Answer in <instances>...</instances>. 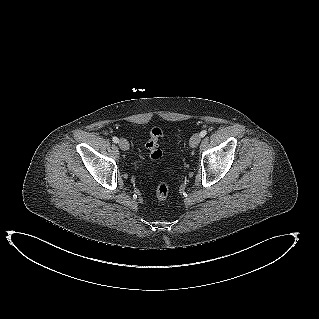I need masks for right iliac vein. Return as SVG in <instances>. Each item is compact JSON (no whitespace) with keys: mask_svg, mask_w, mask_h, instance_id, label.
<instances>
[{"mask_svg":"<svg viewBox=\"0 0 319 319\" xmlns=\"http://www.w3.org/2000/svg\"><path fill=\"white\" fill-rule=\"evenodd\" d=\"M118 143H119V146L122 150L126 151L129 149V143L126 139L121 138Z\"/></svg>","mask_w":319,"mask_h":319,"instance_id":"obj_1","label":"right iliac vein"}]
</instances>
